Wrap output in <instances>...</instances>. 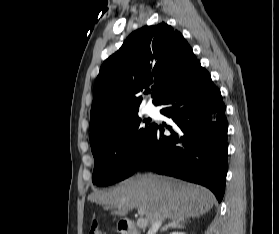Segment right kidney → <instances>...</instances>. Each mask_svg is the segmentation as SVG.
I'll list each match as a JSON object with an SVG mask.
<instances>
[{
  "label": "right kidney",
  "mask_w": 279,
  "mask_h": 234,
  "mask_svg": "<svg viewBox=\"0 0 279 234\" xmlns=\"http://www.w3.org/2000/svg\"><path fill=\"white\" fill-rule=\"evenodd\" d=\"M170 234H186V233H184V232H172Z\"/></svg>",
  "instance_id": "1"
}]
</instances>
